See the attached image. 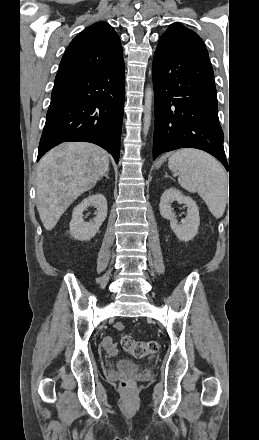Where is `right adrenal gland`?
<instances>
[{"mask_svg": "<svg viewBox=\"0 0 259 440\" xmlns=\"http://www.w3.org/2000/svg\"><path fill=\"white\" fill-rule=\"evenodd\" d=\"M104 177H106L107 179H109V171H107L104 175Z\"/></svg>", "mask_w": 259, "mask_h": 440, "instance_id": "right-adrenal-gland-1", "label": "right adrenal gland"}]
</instances>
